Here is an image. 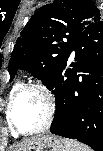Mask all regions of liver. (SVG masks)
Here are the masks:
<instances>
[{"label": "liver", "mask_w": 103, "mask_h": 151, "mask_svg": "<svg viewBox=\"0 0 103 151\" xmlns=\"http://www.w3.org/2000/svg\"><path fill=\"white\" fill-rule=\"evenodd\" d=\"M35 138L32 139H28L20 144H17L16 146H14L12 148L11 151H26L27 148L30 146L31 142L34 140Z\"/></svg>", "instance_id": "1"}]
</instances>
